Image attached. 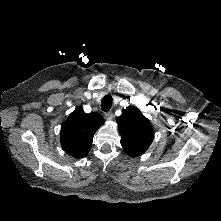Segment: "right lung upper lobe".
Segmentation results:
<instances>
[{
  "label": "right lung upper lobe",
  "instance_id": "right-lung-upper-lobe-1",
  "mask_svg": "<svg viewBox=\"0 0 221 221\" xmlns=\"http://www.w3.org/2000/svg\"><path fill=\"white\" fill-rule=\"evenodd\" d=\"M104 122L99 113L86 114L81 107H77L61 127L60 142L63 150L75 158L87 155L96 130Z\"/></svg>",
  "mask_w": 221,
  "mask_h": 221
}]
</instances>
